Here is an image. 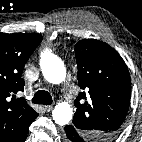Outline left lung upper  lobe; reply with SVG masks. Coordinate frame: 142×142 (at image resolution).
Returning <instances> with one entry per match:
<instances>
[{
	"label": "left lung upper lobe",
	"mask_w": 142,
	"mask_h": 142,
	"mask_svg": "<svg viewBox=\"0 0 142 142\" xmlns=\"http://www.w3.org/2000/svg\"><path fill=\"white\" fill-rule=\"evenodd\" d=\"M80 92L72 126L86 140L111 139L120 131L130 105L131 80L121 56L108 44L83 39L75 46Z\"/></svg>",
	"instance_id": "5c2ea615"
}]
</instances>
